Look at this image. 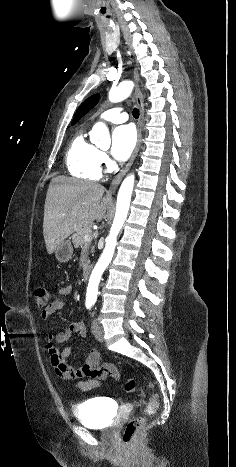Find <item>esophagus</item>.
I'll list each match as a JSON object with an SVG mask.
<instances>
[{
    "mask_svg": "<svg viewBox=\"0 0 236 467\" xmlns=\"http://www.w3.org/2000/svg\"><path fill=\"white\" fill-rule=\"evenodd\" d=\"M133 74H134V79H135L136 83L138 84L140 78H139V73H138L137 67L134 68ZM134 96H135L136 104H137V106L139 108V112H140L139 119H138V122H137V133H138L137 144H136V147L134 149V152H133L129 162L125 165V167L116 175V177L111 182V185L109 187V193H111V194L114 193L117 190L118 185L120 184L121 180L123 179L125 174L128 172V170L132 166V164H133V162H134V160H135V158H136V156L138 154L140 144H141V140H142V124H143V120H144V102H143V97H142V94H141L138 86L135 89Z\"/></svg>",
    "mask_w": 236,
    "mask_h": 467,
    "instance_id": "34e87169",
    "label": "esophagus"
}]
</instances>
